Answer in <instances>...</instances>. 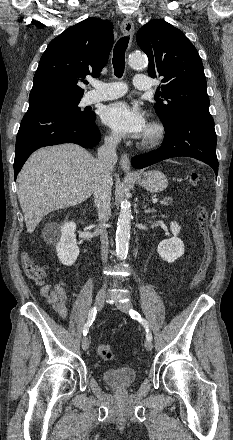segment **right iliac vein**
Returning <instances> with one entry per match:
<instances>
[{"label":"right iliac vein","instance_id":"obj_1","mask_svg":"<svg viewBox=\"0 0 233 440\" xmlns=\"http://www.w3.org/2000/svg\"><path fill=\"white\" fill-rule=\"evenodd\" d=\"M104 301H105V289L103 288L98 292V294L95 298V306L97 307L98 310L102 309V307L104 305ZM89 344H90V342H89L88 337H84L82 339V349L85 351L88 350Z\"/></svg>","mask_w":233,"mask_h":440}]
</instances>
